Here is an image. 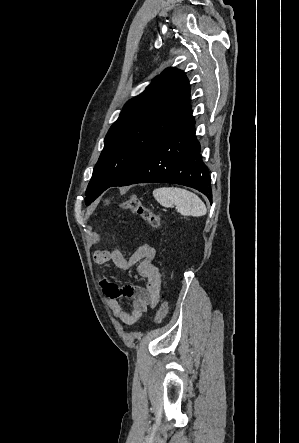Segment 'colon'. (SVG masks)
<instances>
[{
  "instance_id": "colon-1",
  "label": "colon",
  "mask_w": 299,
  "mask_h": 443,
  "mask_svg": "<svg viewBox=\"0 0 299 443\" xmlns=\"http://www.w3.org/2000/svg\"><path fill=\"white\" fill-rule=\"evenodd\" d=\"M108 203V202H107ZM116 207L120 210L132 213L144 219L150 226L157 228L161 225L160 217L143 205L141 198L135 194L129 195L124 200L116 203ZM168 312V305L165 300H162L159 309L155 315V324H160L166 317Z\"/></svg>"
}]
</instances>
